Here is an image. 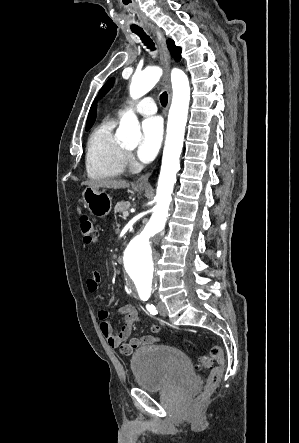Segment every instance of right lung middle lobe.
Instances as JSON below:
<instances>
[{
    "label": "right lung middle lobe",
    "mask_w": 299,
    "mask_h": 443,
    "mask_svg": "<svg viewBox=\"0 0 299 443\" xmlns=\"http://www.w3.org/2000/svg\"><path fill=\"white\" fill-rule=\"evenodd\" d=\"M92 125H87L86 126V130H89L91 128Z\"/></svg>",
    "instance_id": "right-lung-middle-lobe-1"
}]
</instances>
